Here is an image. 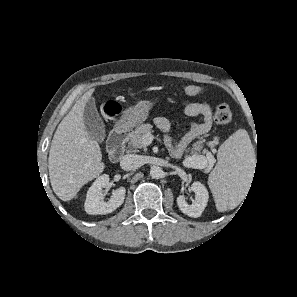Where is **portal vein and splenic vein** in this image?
I'll return each mask as SVG.
<instances>
[{"instance_id": "1", "label": "portal vein and splenic vein", "mask_w": 297, "mask_h": 297, "mask_svg": "<svg viewBox=\"0 0 297 297\" xmlns=\"http://www.w3.org/2000/svg\"><path fill=\"white\" fill-rule=\"evenodd\" d=\"M144 144L149 145L153 141V135L151 133H147L143 136ZM202 158V156H196V158Z\"/></svg>"}]
</instances>
